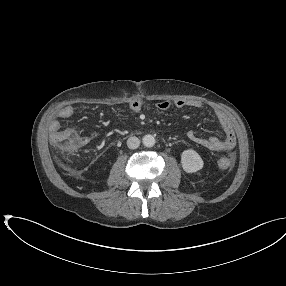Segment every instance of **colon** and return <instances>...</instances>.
Returning a JSON list of instances; mask_svg holds the SVG:
<instances>
[{
    "label": "colon",
    "mask_w": 286,
    "mask_h": 286,
    "mask_svg": "<svg viewBox=\"0 0 286 286\" xmlns=\"http://www.w3.org/2000/svg\"><path fill=\"white\" fill-rule=\"evenodd\" d=\"M51 140L64 156L74 155L87 142L85 137L73 130L56 131L51 136ZM234 162L235 155H230L220 159L218 165L222 169H229L234 165Z\"/></svg>",
    "instance_id": "5ec220e1"
}]
</instances>
